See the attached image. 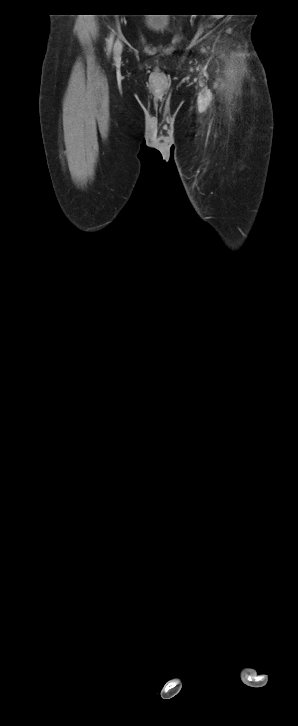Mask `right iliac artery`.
Instances as JSON below:
<instances>
[{"label":"right iliac artery","instance_id":"right-iliac-artery-1","mask_svg":"<svg viewBox=\"0 0 298 726\" xmlns=\"http://www.w3.org/2000/svg\"><path fill=\"white\" fill-rule=\"evenodd\" d=\"M112 42H113V35H111L108 40V52L111 51Z\"/></svg>","mask_w":298,"mask_h":726}]
</instances>
